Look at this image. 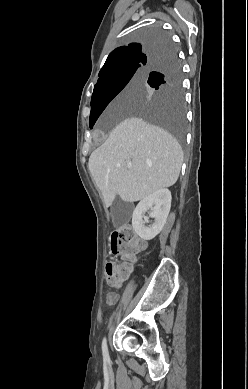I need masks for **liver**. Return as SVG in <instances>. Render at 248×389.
Returning a JSON list of instances; mask_svg holds the SVG:
<instances>
[{
    "instance_id": "obj_1",
    "label": "liver",
    "mask_w": 248,
    "mask_h": 389,
    "mask_svg": "<svg viewBox=\"0 0 248 389\" xmlns=\"http://www.w3.org/2000/svg\"><path fill=\"white\" fill-rule=\"evenodd\" d=\"M132 100L131 84L116 104L127 105ZM182 163L181 146L170 133L141 118L130 117L120 122L92 152L88 168L105 206L109 207L117 195L125 202H136L174 185Z\"/></svg>"
}]
</instances>
